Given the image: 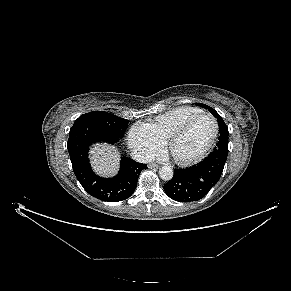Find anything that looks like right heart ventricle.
I'll use <instances>...</instances> for the list:
<instances>
[{"mask_svg":"<svg viewBox=\"0 0 291 291\" xmlns=\"http://www.w3.org/2000/svg\"><path fill=\"white\" fill-rule=\"evenodd\" d=\"M202 112L201 109L195 107H178L157 116L154 120L143 124L142 127L160 143H163L186 120Z\"/></svg>","mask_w":291,"mask_h":291,"instance_id":"right-heart-ventricle-1","label":"right heart ventricle"}]
</instances>
